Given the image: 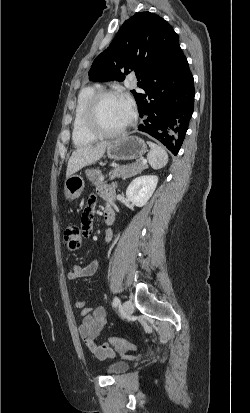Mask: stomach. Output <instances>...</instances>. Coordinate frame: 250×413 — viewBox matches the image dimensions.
Instances as JSON below:
<instances>
[{
    "label": "stomach",
    "mask_w": 250,
    "mask_h": 413,
    "mask_svg": "<svg viewBox=\"0 0 250 413\" xmlns=\"http://www.w3.org/2000/svg\"><path fill=\"white\" fill-rule=\"evenodd\" d=\"M107 156L113 160H133L142 157L147 146L145 142L137 136H124L107 145ZM84 188L83 178L79 175H72L66 178L64 183V194L70 201L77 199Z\"/></svg>",
    "instance_id": "obj_1"
}]
</instances>
